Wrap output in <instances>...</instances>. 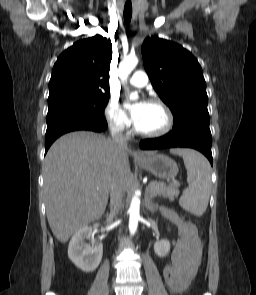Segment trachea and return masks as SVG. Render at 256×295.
I'll return each mask as SVG.
<instances>
[{
  "label": "trachea",
  "mask_w": 256,
  "mask_h": 295,
  "mask_svg": "<svg viewBox=\"0 0 256 295\" xmlns=\"http://www.w3.org/2000/svg\"><path fill=\"white\" fill-rule=\"evenodd\" d=\"M132 17V4L131 1H127L124 6V20L129 25Z\"/></svg>",
  "instance_id": "1"
}]
</instances>
